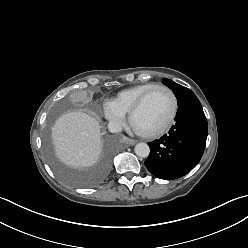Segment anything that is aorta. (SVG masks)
Wrapping results in <instances>:
<instances>
[{
	"mask_svg": "<svg viewBox=\"0 0 248 248\" xmlns=\"http://www.w3.org/2000/svg\"><path fill=\"white\" fill-rule=\"evenodd\" d=\"M135 154L138 157L146 158L150 153V148L146 143H138L134 148Z\"/></svg>",
	"mask_w": 248,
	"mask_h": 248,
	"instance_id": "aorta-1",
	"label": "aorta"
}]
</instances>
